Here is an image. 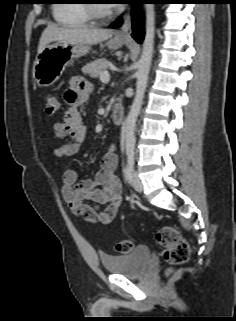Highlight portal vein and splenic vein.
<instances>
[{"label":"portal vein and splenic vein","instance_id":"obj_1","mask_svg":"<svg viewBox=\"0 0 236 321\" xmlns=\"http://www.w3.org/2000/svg\"><path fill=\"white\" fill-rule=\"evenodd\" d=\"M100 80L102 82H108L110 80V74L107 70L103 71L101 74H100Z\"/></svg>","mask_w":236,"mask_h":321}]
</instances>
